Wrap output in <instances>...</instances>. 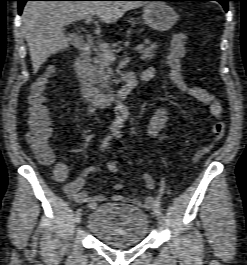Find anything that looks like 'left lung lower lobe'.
<instances>
[{
    "label": "left lung lower lobe",
    "mask_w": 247,
    "mask_h": 265,
    "mask_svg": "<svg viewBox=\"0 0 247 265\" xmlns=\"http://www.w3.org/2000/svg\"><path fill=\"white\" fill-rule=\"evenodd\" d=\"M142 1H184V0H142ZM193 1H218L224 7L225 11L228 10V1L231 0H193Z\"/></svg>",
    "instance_id": "0a47b994"
}]
</instances>
